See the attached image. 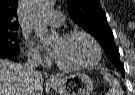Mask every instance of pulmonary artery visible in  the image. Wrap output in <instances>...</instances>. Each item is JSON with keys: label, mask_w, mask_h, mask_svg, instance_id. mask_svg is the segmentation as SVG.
<instances>
[{"label": "pulmonary artery", "mask_w": 135, "mask_h": 95, "mask_svg": "<svg viewBox=\"0 0 135 95\" xmlns=\"http://www.w3.org/2000/svg\"><path fill=\"white\" fill-rule=\"evenodd\" d=\"M46 20L52 26H60L63 23V14L57 10H52L46 17Z\"/></svg>", "instance_id": "obj_1"}]
</instances>
